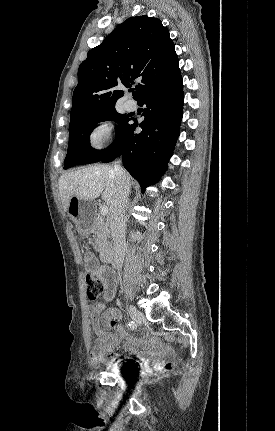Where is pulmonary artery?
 <instances>
[{
    "instance_id": "e3ab8cb5",
    "label": "pulmonary artery",
    "mask_w": 275,
    "mask_h": 431,
    "mask_svg": "<svg viewBox=\"0 0 275 431\" xmlns=\"http://www.w3.org/2000/svg\"><path fill=\"white\" fill-rule=\"evenodd\" d=\"M125 107H126V109H127L128 111H133V110H135V109H136L137 104H136V102H135L134 100H127V101L125 102Z\"/></svg>"
}]
</instances>
